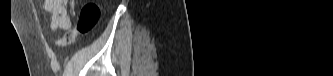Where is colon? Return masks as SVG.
<instances>
[{"instance_id": "5ec220e1", "label": "colon", "mask_w": 333, "mask_h": 76, "mask_svg": "<svg viewBox=\"0 0 333 76\" xmlns=\"http://www.w3.org/2000/svg\"><path fill=\"white\" fill-rule=\"evenodd\" d=\"M100 16L99 7L94 2L86 3L81 11L76 27L67 32L60 40L61 46L70 45L78 35H86L96 26Z\"/></svg>"}]
</instances>
